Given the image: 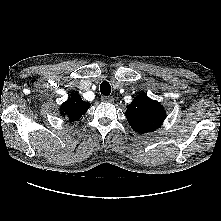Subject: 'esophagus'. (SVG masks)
<instances>
[{"label":"esophagus","mask_w":221,"mask_h":221,"mask_svg":"<svg viewBox=\"0 0 221 221\" xmlns=\"http://www.w3.org/2000/svg\"><path fill=\"white\" fill-rule=\"evenodd\" d=\"M102 101H104V102H113L114 98L112 96H102Z\"/></svg>","instance_id":"34e87169"}]
</instances>
